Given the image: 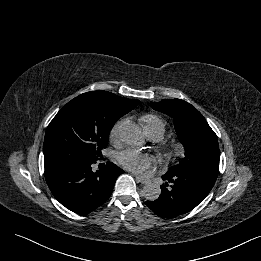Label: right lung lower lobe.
Masks as SVG:
<instances>
[{"instance_id":"obj_1","label":"right lung lower lobe","mask_w":261,"mask_h":261,"mask_svg":"<svg viewBox=\"0 0 261 261\" xmlns=\"http://www.w3.org/2000/svg\"><path fill=\"white\" fill-rule=\"evenodd\" d=\"M96 160L76 159L45 164V179L54 197L69 210L88 214L110 197L124 171L114 163L92 171Z\"/></svg>"}]
</instances>
